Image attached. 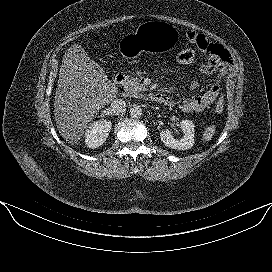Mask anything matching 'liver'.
Wrapping results in <instances>:
<instances>
[{"mask_svg":"<svg viewBox=\"0 0 272 272\" xmlns=\"http://www.w3.org/2000/svg\"><path fill=\"white\" fill-rule=\"evenodd\" d=\"M118 93L104 69L78 44L63 57L55 93L54 115L60 135L78 144L97 113Z\"/></svg>","mask_w":272,"mask_h":272,"instance_id":"1","label":"liver"}]
</instances>
